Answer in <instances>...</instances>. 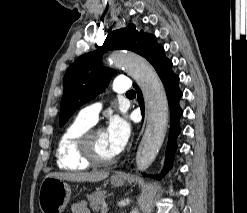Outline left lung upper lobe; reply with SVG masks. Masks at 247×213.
Returning <instances> with one entry per match:
<instances>
[{
	"mask_svg": "<svg viewBox=\"0 0 247 213\" xmlns=\"http://www.w3.org/2000/svg\"><path fill=\"white\" fill-rule=\"evenodd\" d=\"M113 49L133 51L145 57L153 66L166 59L164 49L157 44L155 36L139 32L133 24L110 32L102 47L80 56L67 69L64 76L60 126H63L83 103L101 93L115 75V70L101 65L102 53Z\"/></svg>",
	"mask_w": 247,
	"mask_h": 213,
	"instance_id": "1",
	"label": "left lung upper lobe"
}]
</instances>
